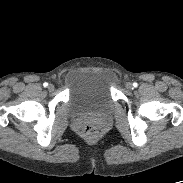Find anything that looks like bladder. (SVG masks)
Returning <instances> with one entry per match:
<instances>
[{"label": "bladder", "mask_w": 183, "mask_h": 183, "mask_svg": "<svg viewBox=\"0 0 183 183\" xmlns=\"http://www.w3.org/2000/svg\"><path fill=\"white\" fill-rule=\"evenodd\" d=\"M67 103L74 115L111 111L114 100L109 74L102 69H85L76 73L69 88Z\"/></svg>", "instance_id": "31cf9c89"}]
</instances>
